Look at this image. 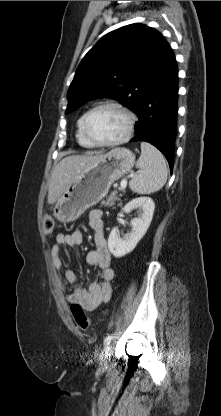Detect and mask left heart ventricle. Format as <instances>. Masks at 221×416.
<instances>
[{
	"mask_svg": "<svg viewBox=\"0 0 221 416\" xmlns=\"http://www.w3.org/2000/svg\"><path fill=\"white\" fill-rule=\"evenodd\" d=\"M127 119L118 109L104 107L94 112L88 120V131L98 141H111L126 129Z\"/></svg>",
	"mask_w": 221,
	"mask_h": 416,
	"instance_id": "left-heart-ventricle-1",
	"label": "left heart ventricle"
}]
</instances>
